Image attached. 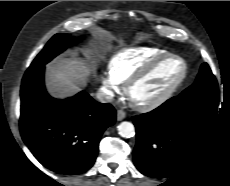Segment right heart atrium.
Wrapping results in <instances>:
<instances>
[{
	"label": "right heart atrium",
	"instance_id": "1",
	"mask_svg": "<svg viewBox=\"0 0 230 186\" xmlns=\"http://www.w3.org/2000/svg\"><path fill=\"white\" fill-rule=\"evenodd\" d=\"M120 82L110 73L102 76V89L105 95H112L120 90Z\"/></svg>",
	"mask_w": 230,
	"mask_h": 186
}]
</instances>
